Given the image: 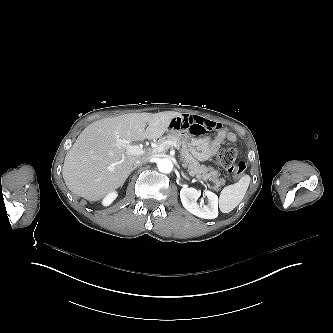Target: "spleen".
<instances>
[{
    "mask_svg": "<svg viewBox=\"0 0 333 333\" xmlns=\"http://www.w3.org/2000/svg\"><path fill=\"white\" fill-rule=\"evenodd\" d=\"M250 181V176L244 175L237 183L223 188L219 196V209L222 213L231 212L241 203L248 190Z\"/></svg>",
    "mask_w": 333,
    "mask_h": 333,
    "instance_id": "spleen-1",
    "label": "spleen"
}]
</instances>
